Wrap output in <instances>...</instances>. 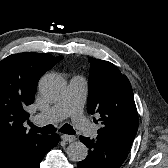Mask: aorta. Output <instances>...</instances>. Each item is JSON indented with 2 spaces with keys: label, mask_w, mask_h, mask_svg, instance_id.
Segmentation results:
<instances>
[{
  "label": "aorta",
  "mask_w": 168,
  "mask_h": 168,
  "mask_svg": "<svg viewBox=\"0 0 168 168\" xmlns=\"http://www.w3.org/2000/svg\"><path fill=\"white\" fill-rule=\"evenodd\" d=\"M65 82L63 78L57 74L50 73L43 76L39 83V92L46 101H56L65 92ZM68 157L75 162L86 159L88 148L80 141L73 142L67 147Z\"/></svg>",
  "instance_id": "762f6f07"
}]
</instances>
